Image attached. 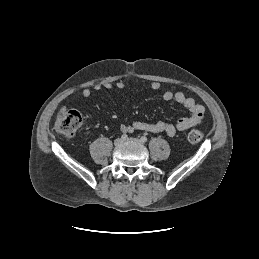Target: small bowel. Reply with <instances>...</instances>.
<instances>
[{
    "label": "small bowel",
    "mask_w": 259,
    "mask_h": 259,
    "mask_svg": "<svg viewBox=\"0 0 259 259\" xmlns=\"http://www.w3.org/2000/svg\"><path fill=\"white\" fill-rule=\"evenodd\" d=\"M152 90H158L161 87V84L157 81H153L150 84ZM95 90H100L102 88L105 89H124L125 83L123 81H117L114 84L110 82H105L102 84L95 85ZM83 97H89L91 95V90L89 88H85L82 91ZM162 98L165 101H175L176 103L184 106L188 111L189 115L180 117L175 124L158 121L154 123H148L143 121H134L132 124H123L120 129L123 133H132L135 130L151 132V133H165L169 137H174L177 132L185 131L191 127L198 125L205 113V108L203 105L196 103V101L192 97H188L184 92H172L165 91L162 94ZM61 111H65V109H61Z\"/></svg>",
    "instance_id": "obj_1"
}]
</instances>
